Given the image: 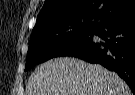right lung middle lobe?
I'll list each match as a JSON object with an SVG mask.
<instances>
[{
	"instance_id": "1",
	"label": "right lung middle lobe",
	"mask_w": 135,
	"mask_h": 95,
	"mask_svg": "<svg viewBox=\"0 0 135 95\" xmlns=\"http://www.w3.org/2000/svg\"><path fill=\"white\" fill-rule=\"evenodd\" d=\"M93 30L31 36L25 71L54 57L72 56L93 41Z\"/></svg>"
}]
</instances>
